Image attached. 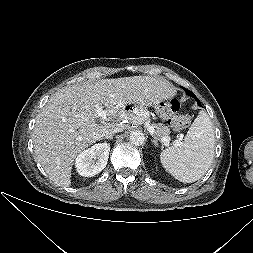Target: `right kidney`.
<instances>
[{"mask_svg":"<svg viewBox=\"0 0 253 253\" xmlns=\"http://www.w3.org/2000/svg\"><path fill=\"white\" fill-rule=\"evenodd\" d=\"M110 152L108 143H98L82 151L75 160L77 172L84 177H92L107 165Z\"/></svg>","mask_w":253,"mask_h":253,"instance_id":"right-kidney-1","label":"right kidney"}]
</instances>
